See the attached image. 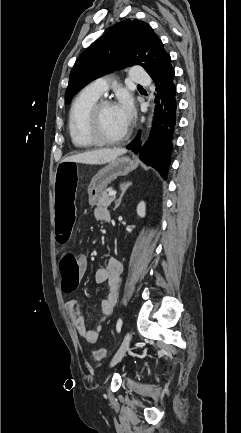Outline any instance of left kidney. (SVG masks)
Listing matches in <instances>:
<instances>
[{"label":"left kidney","instance_id":"left-kidney-1","mask_svg":"<svg viewBox=\"0 0 241 433\" xmlns=\"http://www.w3.org/2000/svg\"><path fill=\"white\" fill-rule=\"evenodd\" d=\"M137 214L139 217L144 218L146 215V204L145 202H140L137 206Z\"/></svg>","mask_w":241,"mask_h":433}]
</instances>
